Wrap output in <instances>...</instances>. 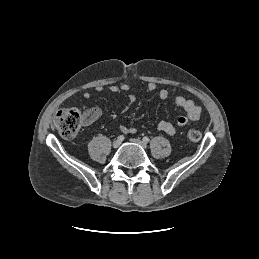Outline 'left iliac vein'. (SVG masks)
<instances>
[{
    "label": "left iliac vein",
    "instance_id": "1",
    "mask_svg": "<svg viewBox=\"0 0 259 259\" xmlns=\"http://www.w3.org/2000/svg\"><path fill=\"white\" fill-rule=\"evenodd\" d=\"M131 142L140 145V146H141L142 148H144V149L147 147V146H146V143L143 142V141H141V140H139V139H131Z\"/></svg>",
    "mask_w": 259,
    "mask_h": 259
}]
</instances>
